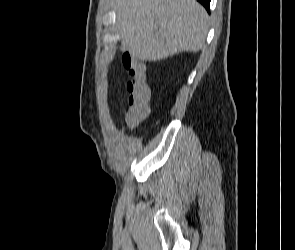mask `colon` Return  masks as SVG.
I'll list each match as a JSON object with an SVG mask.
<instances>
[{
	"instance_id": "colon-1",
	"label": "colon",
	"mask_w": 295,
	"mask_h": 250,
	"mask_svg": "<svg viewBox=\"0 0 295 250\" xmlns=\"http://www.w3.org/2000/svg\"><path fill=\"white\" fill-rule=\"evenodd\" d=\"M127 107L125 122L129 127H136L143 122L149 114L150 90L147 78L132 77L127 83Z\"/></svg>"
}]
</instances>
